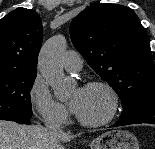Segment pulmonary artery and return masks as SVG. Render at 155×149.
Returning a JSON list of instances; mask_svg holds the SVG:
<instances>
[{
	"instance_id": "obj_1",
	"label": "pulmonary artery",
	"mask_w": 155,
	"mask_h": 149,
	"mask_svg": "<svg viewBox=\"0 0 155 149\" xmlns=\"http://www.w3.org/2000/svg\"><path fill=\"white\" fill-rule=\"evenodd\" d=\"M63 67L68 72H78L82 68V57L76 51H68L63 58Z\"/></svg>"
}]
</instances>
